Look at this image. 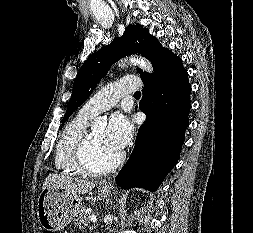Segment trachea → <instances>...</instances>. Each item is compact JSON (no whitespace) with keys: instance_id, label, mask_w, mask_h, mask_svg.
<instances>
[{"instance_id":"3493384b","label":"trachea","mask_w":253,"mask_h":233,"mask_svg":"<svg viewBox=\"0 0 253 233\" xmlns=\"http://www.w3.org/2000/svg\"><path fill=\"white\" fill-rule=\"evenodd\" d=\"M134 95H141V92H140V91H136V92L134 93Z\"/></svg>"}]
</instances>
